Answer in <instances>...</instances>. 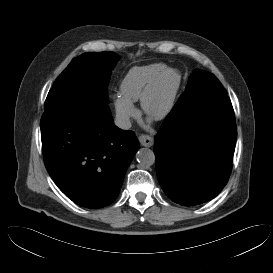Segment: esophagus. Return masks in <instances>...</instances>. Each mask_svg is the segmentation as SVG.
Returning a JSON list of instances; mask_svg holds the SVG:
<instances>
[{"mask_svg": "<svg viewBox=\"0 0 273 273\" xmlns=\"http://www.w3.org/2000/svg\"><path fill=\"white\" fill-rule=\"evenodd\" d=\"M139 142L144 147H151L154 143V139L150 135L142 134L138 137Z\"/></svg>", "mask_w": 273, "mask_h": 273, "instance_id": "1", "label": "esophagus"}]
</instances>
